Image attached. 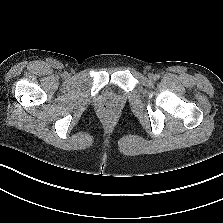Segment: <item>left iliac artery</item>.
I'll list each match as a JSON object with an SVG mask.
<instances>
[{"instance_id":"1","label":"left iliac artery","mask_w":223,"mask_h":223,"mask_svg":"<svg viewBox=\"0 0 223 223\" xmlns=\"http://www.w3.org/2000/svg\"><path fill=\"white\" fill-rule=\"evenodd\" d=\"M160 78V75L159 74H156L155 75V79H159Z\"/></svg>"}]
</instances>
